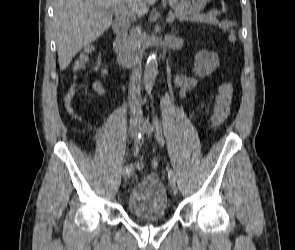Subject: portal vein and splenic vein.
<instances>
[{
  "instance_id": "18ae733b",
  "label": "portal vein and splenic vein",
  "mask_w": 295,
  "mask_h": 250,
  "mask_svg": "<svg viewBox=\"0 0 295 250\" xmlns=\"http://www.w3.org/2000/svg\"><path fill=\"white\" fill-rule=\"evenodd\" d=\"M110 12L115 13L116 15H130V16H134L135 14H138L136 12L135 9H128L125 5L119 6V7H112L111 9H109ZM174 17L173 16H169L166 19L167 23H171L174 21Z\"/></svg>"
}]
</instances>
